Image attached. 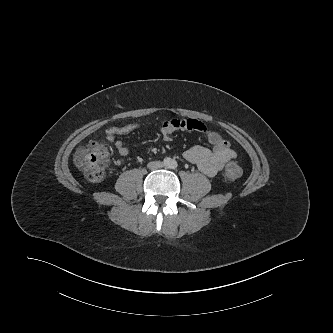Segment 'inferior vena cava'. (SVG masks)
Returning <instances> with one entry per match:
<instances>
[{"instance_id":"obj_1","label":"inferior vena cava","mask_w":333,"mask_h":333,"mask_svg":"<svg viewBox=\"0 0 333 333\" xmlns=\"http://www.w3.org/2000/svg\"><path fill=\"white\" fill-rule=\"evenodd\" d=\"M147 167L152 170L160 169L163 167V163L160 161H152L148 163Z\"/></svg>"}]
</instances>
